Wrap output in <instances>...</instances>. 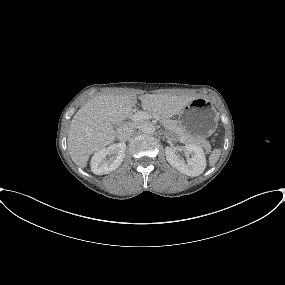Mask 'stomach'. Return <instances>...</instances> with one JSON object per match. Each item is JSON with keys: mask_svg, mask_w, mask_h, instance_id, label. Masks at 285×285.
I'll use <instances>...</instances> for the list:
<instances>
[{"mask_svg": "<svg viewBox=\"0 0 285 285\" xmlns=\"http://www.w3.org/2000/svg\"><path fill=\"white\" fill-rule=\"evenodd\" d=\"M218 120L213 103L197 97L178 113L177 123L188 136L202 139L215 132Z\"/></svg>", "mask_w": 285, "mask_h": 285, "instance_id": "stomach-1", "label": "stomach"}]
</instances>
